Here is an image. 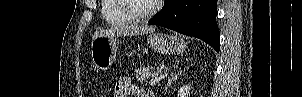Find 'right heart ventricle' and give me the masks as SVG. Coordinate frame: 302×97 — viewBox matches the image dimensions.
I'll use <instances>...</instances> for the list:
<instances>
[{"instance_id": "right-heart-ventricle-1", "label": "right heart ventricle", "mask_w": 302, "mask_h": 97, "mask_svg": "<svg viewBox=\"0 0 302 97\" xmlns=\"http://www.w3.org/2000/svg\"><path fill=\"white\" fill-rule=\"evenodd\" d=\"M101 15L110 26H125L133 22L120 8L119 0H103Z\"/></svg>"}]
</instances>
